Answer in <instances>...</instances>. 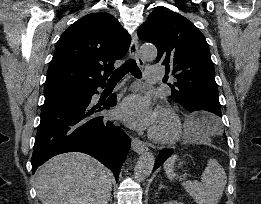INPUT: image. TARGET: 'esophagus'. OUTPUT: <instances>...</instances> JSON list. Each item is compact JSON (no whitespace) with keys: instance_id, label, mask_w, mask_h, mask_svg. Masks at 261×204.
Instances as JSON below:
<instances>
[{"instance_id":"esophagus-1","label":"esophagus","mask_w":261,"mask_h":204,"mask_svg":"<svg viewBox=\"0 0 261 204\" xmlns=\"http://www.w3.org/2000/svg\"><path fill=\"white\" fill-rule=\"evenodd\" d=\"M138 38L137 35L134 34L132 37V41L129 47V55L136 60V62L138 63V65L140 67L144 66V60L139 56V50H138ZM132 149L139 153V154H143L144 152H146L148 150L147 145L141 141L138 138H133L132 139Z\"/></svg>"}]
</instances>
